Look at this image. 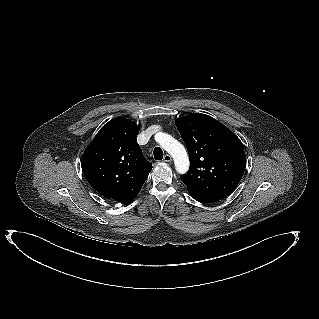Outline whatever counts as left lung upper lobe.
I'll return each instance as SVG.
<instances>
[{
	"mask_svg": "<svg viewBox=\"0 0 319 319\" xmlns=\"http://www.w3.org/2000/svg\"><path fill=\"white\" fill-rule=\"evenodd\" d=\"M190 159L187 174L180 176L188 191L219 201L240 182L246 156L240 139L209 115L192 113L175 121Z\"/></svg>",
	"mask_w": 319,
	"mask_h": 319,
	"instance_id": "left-lung-upper-lobe-1",
	"label": "left lung upper lobe"
}]
</instances>
